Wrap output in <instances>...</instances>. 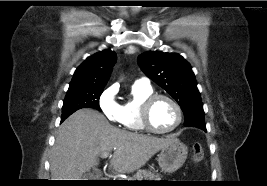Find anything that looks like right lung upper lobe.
I'll return each instance as SVG.
<instances>
[{
  "label": "right lung upper lobe",
  "instance_id": "1",
  "mask_svg": "<svg viewBox=\"0 0 267 186\" xmlns=\"http://www.w3.org/2000/svg\"><path fill=\"white\" fill-rule=\"evenodd\" d=\"M116 58V53L111 50H104L89 56L76 69L68 90L103 89Z\"/></svg>",
  "mask_w": 267,
  "mask_h": 186
}]
</instances>
